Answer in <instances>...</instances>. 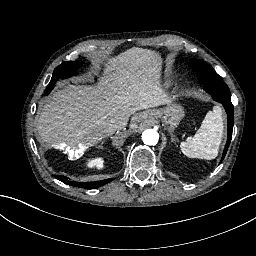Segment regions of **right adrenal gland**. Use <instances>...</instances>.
<instances>
[{
  "label": "right adrenal gland",
  "mask_w": 256,
  "mask_h": 256,
  "mask_svg": "<svg viewBox=\"0 0 256 256\" xmlns=\"http://www.w3.org/2000/svg\"><path fill=\"white\" fill-rule=\"evenodd\" d=\"M104 143H105V141H102V142H101V146H102Z\"/></svg>",
  "instance_id": "2a0ac1e0"
}]
</instances>
